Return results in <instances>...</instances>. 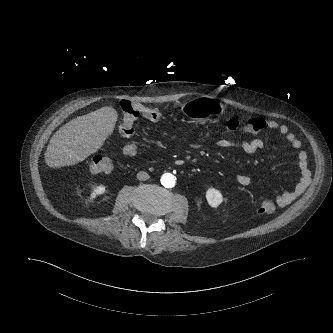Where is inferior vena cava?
<instances>
[{
	"mask_svg": "<svg viewBox=\"0 0 333 333\" xmlns=\"http://www.w3.org/2000/svg\"><path fill=\"white\" fill-rule=\"evenodd\" d=\"M137 179L141 181H145L149 179V174L145 171H140L137 173Z\"/></svg>",
	"mask_w": 333,
	"mask_h": 333,
	"instance_id": "obj_1",
	"label": "inferior vena cava"
}]
</instances>
